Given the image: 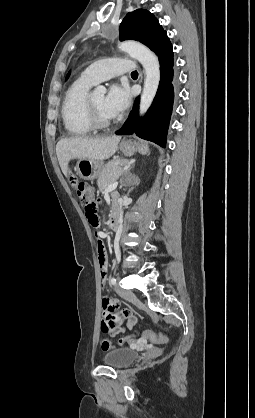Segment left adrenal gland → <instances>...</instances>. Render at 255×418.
Instances as JSON below:
<instances>
[{
    "mask_svg": "<svg viewBox=\"0 0 255 418\" xmlns=\"http://www.w3.org/2000/svg\"><path fill=\"white\" fill-rule=\"evenodd\" d=\"M134 167V163L126 170V173H129L130 172V170L132 169ZM126 182L128 183V184H133V185H135L137 182H132L131 181V179L130 178H128L127 180H126ZM123 185H125V184H123Z\"/></svg>",
    "mask_w": 255,
    "mask_h": 418,
    "instance_id": "obj_1",
    "label": "left adrenal gland"
}]
</instances>
